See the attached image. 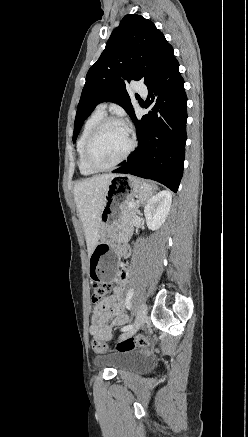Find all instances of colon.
I'll return each instance as SVG.
<instances>
[{"instance_id": "obj_1", "label": "colon", "mask_w": 248, "mask_h": 437, "mask_svg": "<svg viewBox=\"0 0 248 437\" xmlns=\"http://www.w3.org/2000/svg\"><path fill=\"white\" fill-rule=\"evenodd\" d=\"M110 292V286H92L91 299L94 304L104 300ZM150 340L144 336L122 338L116 346L119 352L145 349L150 346ZM92 348L96 353L107 350V344L101 340H93Z\"/></svg>"}]
</instances>
